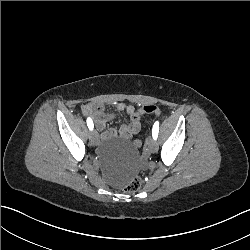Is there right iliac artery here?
<instances>
[{
  "instance_id": "1",
  "label": "right iliac artery",
  "mask_w": 250,
  "mask_h": 250,
  "mask_svg": "<svg viewBox=\"0 0 250 250\" xmlns=\"http://www.w3.org/2000/svg\"><path fill=\"white\" fill-rule=\"evenodd\" d=\"M87 126L90 130H93L94 125L91 118H87Z\"/></svg>"
}]
</instances>
